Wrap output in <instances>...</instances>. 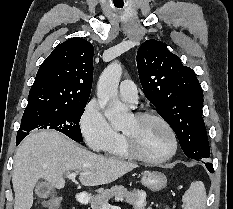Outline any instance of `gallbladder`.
<instances>
[{
    "instance_id": "bac80fb5",
    "label": "gallbladder",
    "mask_w": 233,
    "mask_h": 209,
    "mask_svg": "<svg viewBox=\"0 0 233 209\" xmlns=\"http://www.w3.org/2000/svg\"><path fill=\"white\" fill-rule=\"evenodd\" d=\"M35 192L39 198H47L51 195L56 194V192L50 185L43 182H39L36 184Z\"/></svg>"
}]
</instances>
